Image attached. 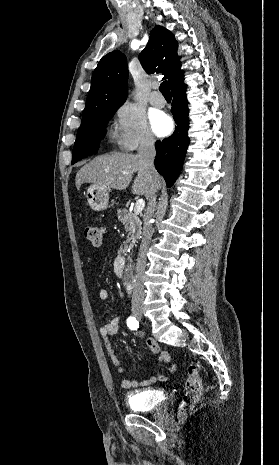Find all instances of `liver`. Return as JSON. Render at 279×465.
I'll list each match as a JSON object with an SVG mask.
<instances>
[{
	"mask_svg": "<svg viewBox=\"0 0 279 465\" xmlns=\"http://www.w3.org/2000/svg\"><path fill=\"white\" fill-rule=\"evenodd\" d=\"M135 172L137 176L132 186V193L147 196L151 187L150 175L139 155L129 153L95 157L77 172L75 184L77 189L83 183H91L107 189L124 190L129 186ZM153 181L157 191L161 187V177L158 173L154 175Z\"/></svg>",
	"mask_w": 279,
	"mask_h": 465,
	"instance_id": "1",
	"label": "liver"
}]
</instances>
